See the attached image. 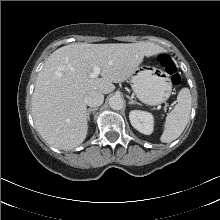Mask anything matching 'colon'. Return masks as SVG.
I'll return each instance as SVG.
<instances>
[{"label":"colon","mask_w":220,"mask_h":220,"mask_svg":"<svg viewBox=\"0 0 220 220\" xmlns=\"http://www.w3.org/2000/svg\"><path fill=\"white\" fill-rule=\"evenodd\" d=\"M159 64L164 68L165 72L170 76L173 85H178L181 81L176 64L171 57L165 53L157 56Z\"/></svg>","instance_id":"1"}]
</instances>
